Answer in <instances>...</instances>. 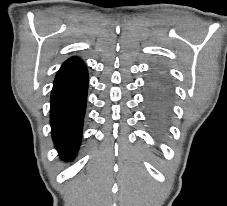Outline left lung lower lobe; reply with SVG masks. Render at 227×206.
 Returning <instances> with one entry per match:
<instances>
[{"label": "left lung lower lobe", "instance_id": "0a47b994", "mask_svg": "<svg viewBox=\"0 0 227 206\" xmlns=\"http://www.w3.org/2000/svg\"><path fill=\"white\" fill-rule=\"evenodd\" d=\"M170 96L171 87L167 75L162 69H154L147 81L146 101L150 125L158 134L164 130V120L169 110Z\"/></svg>", "mask_w": 227, "mask_h": 206}]
</instances>
